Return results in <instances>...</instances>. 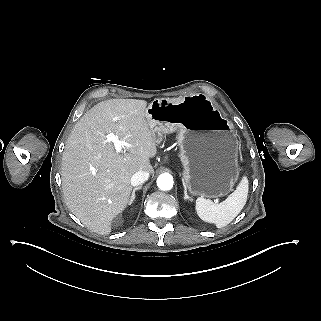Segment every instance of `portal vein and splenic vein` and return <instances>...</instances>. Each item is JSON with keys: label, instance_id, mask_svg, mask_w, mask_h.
I'll return each instance as SVG.
<instances>
[{"label": "portal vein and splenic vein", "instance_id": "portal-vein-and-splenic-vein-1", "mask_svg": "<svg viewBox=\"0 0 321 321\" xmlns=\"http://www.w3.org/2000/svg\"><path fill=\"white\" fill-rule=\"evenodd\" d=\"M106 142H112L114 144V147L117 153H120L123 147L131 146V144H129L128 142L124 140H119L118 136H116L112 132L106 135ZM212 202L217 206L221 203V200L217 197H214L212 199Z\"/></svg>", "mask_w": 321, "mask_h": 321}]
</instances>
